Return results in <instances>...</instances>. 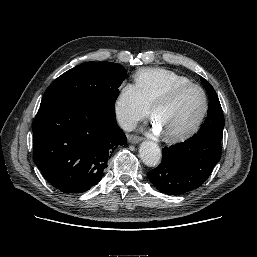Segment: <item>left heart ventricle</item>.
<instances>
[{
  "label": "left heart ventricle",
  "mask_w": 257,
  "mask_h": 257,
  "mask_svg": "<svg viewBox=\"0 0 257 257\" xmlns=\"http://www.w3.org/2000/svg\"><path fill=\"white\" fill-rule=\"evenodd\" d=\"M202 107L200 91L188 89L173 102L160 106L155 117L165 133H174L189 128L198 118Z\"/></svg>",
  "instance_id": "1"
}]
</instances>
